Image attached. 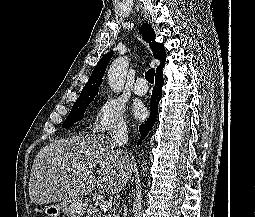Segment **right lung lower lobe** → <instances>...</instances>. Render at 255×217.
<instances>
[{
    "mask_svg": "<svg viewBox=\"0 0 255 217\" xmlns=\"http://www.w3.org/2000/svg\"><path fill=\"white\" fill-rule=\"evenodd\" d=\"M164 80H163V75L162 72L156 74V79H155V86L152 91L151 95V114L148 120L145 122V124L140 125L139 131L142 135L140 141H138L137 145L141 143V140L144 139L147 135V133L151 130L153 127L157 114H158V103L159 100L162 97V86H163Z\"/></svg>",
    "mask_w": 255,
    "mask_h": 217,
    "instance_id": "1",
    "label": "right lung lower lobe"
}]
</instances>
